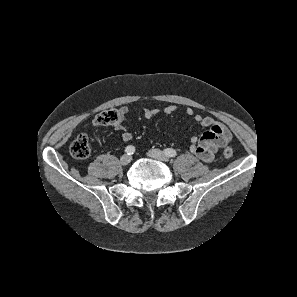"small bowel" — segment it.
I'll use <instances>...</instances> for the list:
<instances>
[{
    "label": "small bowel",
    "instance_id": "c3829d8e",
    "mask_svg": "<svg viewBox=\"0 0 297 297\" xmlns=\"http://www.w3.org/2000/svg\"><path fill=\"white\" fill-rule=\"evenodd\" d=\"M128 111L129 110L126 106H123L119 109L120 121L114 126L115 129L122 131V140L124 142H129L133 137L132 133L125 130L121 123V120L126 116ZM158 112L159 111L155 108L146 109L144 111V117L146 119H151L155 117ZM175 112L176 106L174 105H169L164 108V113L170 117L173 116ZM186 114L189 116H194L195 121L208 128V130L202 134L198 141L195 138L192 139L190 151L202 161L210 162L220 146L230 140L231 133L228 128L217 123L212 117L194 114V110L192 108H187Z\"/></svg>",
    "mask_w": 297,
    "mask_h": 297
}]
</instances>
